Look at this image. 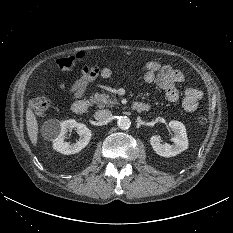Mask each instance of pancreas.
Wrapping results in <instances>:
<instances>
[{
	"mask_svg": "<svg viewBox=\"0 0 233 233\" xmlns=\"http://www.w3.org/2000/svg\"><path fill=\"white\" fill-rule=\"evenodd\" d=\"M93 102L96 103L98 105V107H104V106H113L115 104H117V100L115 98H112L110 97V95L108 94H99V93H96L94 94V97H93Z\"/></svg>",
	"mask_w": 233,
	"mask_h": 233,
	"instance_id": "cf45deb5",
	"label": "pancreas"
}]
</instances>
